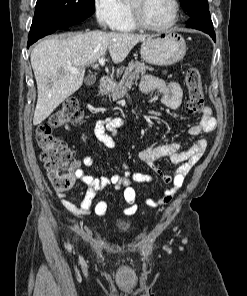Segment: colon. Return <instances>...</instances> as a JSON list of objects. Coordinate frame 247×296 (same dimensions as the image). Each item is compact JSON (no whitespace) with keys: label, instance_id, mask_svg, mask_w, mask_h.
I'll return each mask as SVG.
<instances>
[{"label":"colon","instance_id":"5ec220e1","mask_svg":"<svg viewBox=\"0 0 247 296\" xmlns=\"http://www.w3.org/2000/svg\"><path fill=\"white\" fill-rule=\"evenodd\" d=\"M185 84L189 93L188 112L195 115L204 106V94L199 70L190 66L185 73ZM85 114L77 99L68 98L50 116L37 126L36 141L40 149V159L43 162L48 178L53 187L64 191L73 186L76 179L77 163L67 144L54 135L58 128L78 126L83 123Z\"/></svg>","mask_w":247,"mask_h":296}]
</instances>
